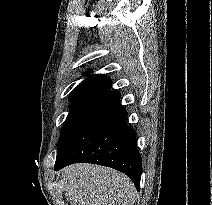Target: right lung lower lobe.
Listing matches in <instances>:
<instances>
[{
  "mask_svg": "<svg viewBox=\"0 0 212 205\" xmlns=\"http://www.w3.org/2000/svg\"><path fill=\"white\" fill-rule=\"evenodd\" d=\"M127 111L120 93L108 90L66 150L56 159L55 170L79 162L112 167L125 173L139 190L142 160L136 133L126 124Z\"/></svg>",
  "mask_w": 212,
  "mask_h": 205,
  "instance_id": "1",
  "label": "right lung lower lobe"
}]
</instances>
